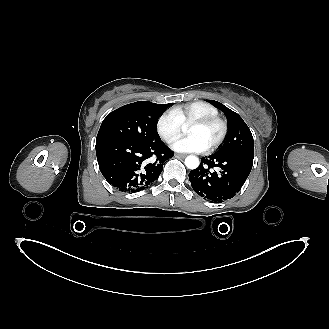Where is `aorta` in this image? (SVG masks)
<instances>
[{
  "instance_id": "obj_1",
  "label": "aorta",
  "mask_w": 329,
  "mask_h": 329,
  "mask_svg": "<svg viewBox=\"0 0 329 329\" xmlns=\"http://www.w3.org/2000/svg\"><path fill=\"white\" fill-rule=\"evenodd\" d=\"M200 164L199 158L194 155H189L185 159V165L189 169H196Z\"/></svg>"
}]
</instances>
